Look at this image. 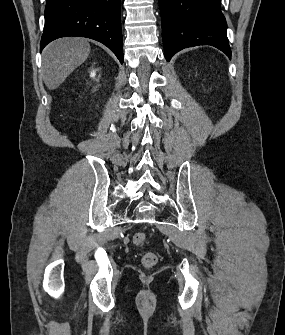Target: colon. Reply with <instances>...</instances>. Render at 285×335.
Here are the masks:
<instances>
[{
    "mask_svg": "<svg viewBox=\"0 0 285 335\" xmlns=\"http://www.w3.org/2000/svg\"><path fill=\"white\" fill-rule=\"evenodd\" d=\"M136 246H143L147 242V236L143 232H138L133 237ZM158 262V255L154 252H147L142 257V264L145 268H152Z\"/></svg>",
    "mask_w": 285,
    "mask_h": 335,
    "instance_id": "obj_1",
    "label": "colon"
}]
</instances>
